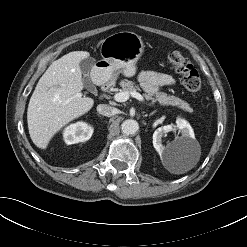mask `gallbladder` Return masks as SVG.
Masks as SVG:
<instances>
[{"label":"gallbladder","instance_id":"1","mask_svg":"<svg viewBox=\"0 0 247 247\" xmlns=\"http://www.w3.org/2000/svg\"><path fill=\"white\" fill-rule=\"evenodd\" d=\"M95 60L91 57L85 58L80 62V68L81 72L84 76H87L83 79V83L85 87L87 88L88 91L94 93L96 91L95 86L89 79L88 75L91 72L93 65H94Z\"/></svg>","mask_w":247,"mask_h":247}]
</instances>
